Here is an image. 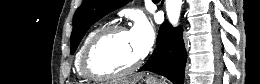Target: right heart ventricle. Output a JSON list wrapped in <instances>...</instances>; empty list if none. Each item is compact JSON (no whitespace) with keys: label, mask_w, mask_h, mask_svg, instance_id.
<instances>
[{"label":"right heart ventricle","mask_w":260,"mask_h":84,"mask_svg":"<svg viewBox=\"0 0 260 84\" xmlns=\"http://www.w3.org/2000/svg\"><path fill=\"white\" fill-rule=\"evenodd\" d=\"M101 29V27H96L94 29H92L91 31L88 32V34L85 36L84 40L82 41L78 51H77V54H76V57H75V69L78 73V75L84 79H87L83 72H82V68H81V62H82V57H83V54H84V50L88 44V42L90 41V39L93 37V35L99 30Z\"/></svg>","instance_id":"e07e8e85"}]
</instances>
